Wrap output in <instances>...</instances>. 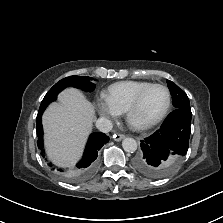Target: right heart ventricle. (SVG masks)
<instances>
[{"label":"right heart ventricle","instance_id":"obj_1","mask_svg":"<svg viewBox=\"0 0 223 223\" xmlns=\"http://www.w3.org/2000/svg\"><path fill=\"white\" fill-rule=\"evenodd\" d=\"M151 84L138 80L117 82L109 86L105 97L120 113H123L138 93Z\"/></svg>","mask_w":223,"mask_h":223}]
</instances>
